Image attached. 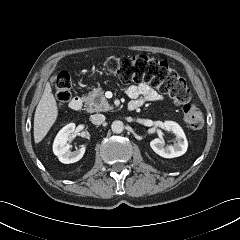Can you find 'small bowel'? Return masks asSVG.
<instances>
[{
  "mask_svg": "<svg viewBox=\"0 0 240 240\" xmlns=\"http://www.w3.org/2000/svg\"><path fill=\"white\" fill-rule=\"evenodd\" d=\"M126 94L141 107L146 102L160 101L163 96L147 83L131 85L125 89Z\"/></svg>",
  "mask_w": 240,
  "mask_h": 240,
  "instance_id": "c3829d8e",
  "label": "small bowel"
}]
</instances>
